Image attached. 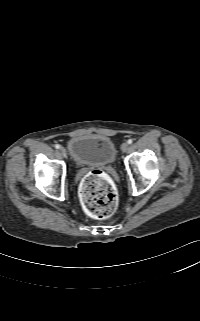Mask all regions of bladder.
<instances>
[{"label":"bladder","mask_w":200,"mask_h":321,"mask_svg":"<svg viewBox=\"0 0 200 321\" xmlns=\"http://www.w3.org/2000/svg\"><path fill=\"white\" fill-rule=\"evenodd\" d=\"M68 153L79 165H107L116 159V146L106 136L97 134L79 135L67 144Z\"/></svg>","instance_id":"obj_1"}]
</instances>
